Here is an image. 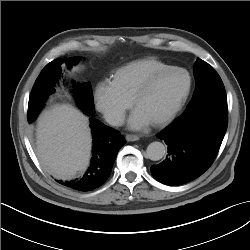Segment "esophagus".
Segmentation results:
<instances>
[{"label":"esophagus","instance_id":"esophagus-1","mask_svg":"<svg viewBox=\"0 0 250 250\" xmlns=\"http://www.w3.org/2000/svg\"><path fill=\"white\" fill-rule=\"evenodd\" d=\"M125 138H126V140H127L128 142H133V141L139 140V136H137V135H132V134H127Z\"/></svg>","mask_w":250,"mask_h":250}]
</instances>
